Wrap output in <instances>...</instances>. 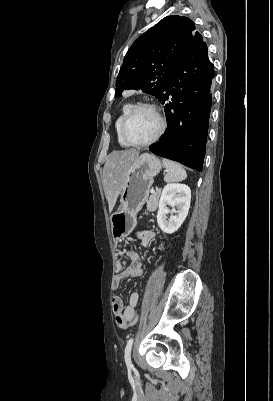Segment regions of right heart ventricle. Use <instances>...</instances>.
<instances>
[{
  "mask_svg": "<svg viewBox=\"0 0 273 401\" xmlns=\"http://www.w3.org/2000/svg\"><path fill=\"white\" fill-rule=\"evenodd\" d=\"M132 107H133L132 103H128V102L122 103L119 107V111H118V114H117V117H116V120L114 123V128H115L118 143L121 147H124V148H128L130 146L128 144H126L121 138L120 125H121L123 118L126 116V114L130 111V109Z\"/></svg>",
  "mask_w": 273,
  "mask_h": 401,
  "instance_id": "1",
  "label": "right heart ventricle"
}]
</instances>
